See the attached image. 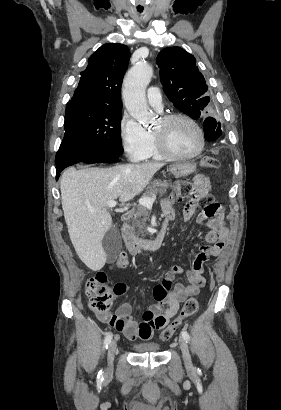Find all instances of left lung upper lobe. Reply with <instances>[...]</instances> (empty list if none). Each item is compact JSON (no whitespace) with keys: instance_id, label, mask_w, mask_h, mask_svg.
Segmentation results:
<instances>
[{"instance_id":"left-lung-upper-lobe-1","label":"left lung upper lobe","mask_w":281,"mask_h":410,"mask_svg":"<svg viewBox=\"0 0 281 410\" xmlns=\"http://www.w3.org/2000/svg\"><path fill=\"white\" fill-rule=\"evenodd\" d=\"M157 64L163 89L174 106L193 119L204 117L210 98L194 56L182 48L169 47L158 54ZM221 133L219 128L217 135Z\"/></svg>"}]
</instances>
